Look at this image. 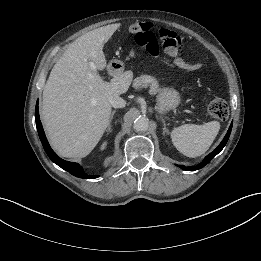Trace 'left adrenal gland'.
Instances as JSON below:
<instances>
[{
	"instance_id": "obj_1",
	"label": "left adrenal gland",
	"mask_w": 261,
	"mask_h": 261,
	"mask_svg": "<svg viewBox=\"0 0 261 261\" xmlns=\"http://www.w3.org/2000/svg\"><path fill=\"white\" fill-rule=\"evenodd\" d=\"M162 122H163V133L165 134V133H168V130H167V128H166V123H165V121H164V119H162Z\"/></svg>"
}]
</instances>
